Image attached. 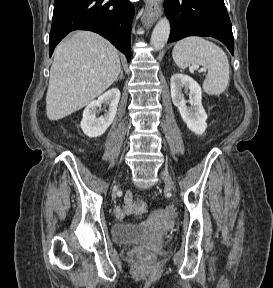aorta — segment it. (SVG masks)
I'll list each match as a JSON object with an SVG mask.
<instances>
[{"label":"aorta","instance_id":"1","mask_svg":"<svg viewBox=\"0 0 273 288\" xmlns=\"http://www.w3.org/2000/svg\"><path fill=\"white\" fill-rule=\"evenodd\" d=\"M170 34V23L167 18H161L155 25L151 35V45L155 50L162 49L168 41Z\"/></svg>","mask_w":273,"mask_h":288}]
</instances>
